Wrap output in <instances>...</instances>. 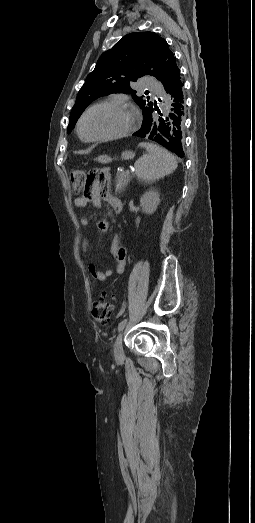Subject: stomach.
Masks as SVG:
<instances>
[{
    "instance_id": "obj_1",
    "label": "stomach",
    "mask_w": 255,
    "mask_h": 523,
    "mask_svg": "<svg viewBox=\"0 0 255 523\" xmlns=\"http://www.w3.org/2000/svg\"><path fill=\"white\" fill-rule=\"evenodd\" d=\"M114 158V155L108 151H103L100 154V159L103 162H108ZM123 158L124 160H128V158H132L131 152H123Z\"/></svg>"
}]
</instances>
